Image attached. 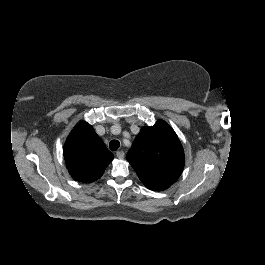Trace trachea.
<instances>
[{
    "instance_id": "1",
    "label": "trachea",
    "mask_w": 265,
    "mask_h": 265,
    "mask_svg": "<svg viewBox=\"0 0 265 265\" xmlns=\"http://www.w3.org/2000/svg\"><path fill=\"white\" fill-rule=\"evenodd\" d=\"M119 146H120V142L118 140H112L109 143V148L112 151H116L119 148Z\"/></svg>"
}]
</instances>
